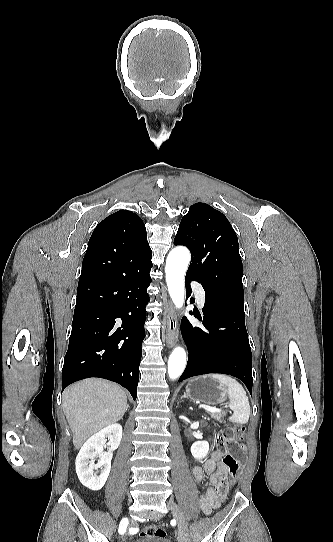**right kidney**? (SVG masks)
Wrapping results in <instances>:
<instances>
[{
  "label": "right kidney",
  "mask_w": 333,
  "mask_h": 542,
  "mask_svg": "<svg viewBox=\"0 0 333 542\" xmlns=\"http://www.w3.org/2000/svg\"><path fill=\"white\" fill-rule=\"evenodd\" d=\"M108 438L109 442L106 444ZM122 438V426L120 424H111L103 428L94 436H91L83 444L75 462L76 474L83 486L98 492L106 484V480L111 470V460L114 450H117ZM104 446H109L108 452H103ZM100 458L97 464H92L90 460ZM101 468L99 476L94 470Z\"/></svg>",
  "instance_id": "ca27d5eb"
}]
</instances>
